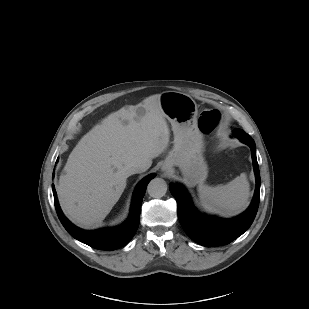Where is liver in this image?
Listing matches in <instances>:
<instances>
[{"label":"liver","instance_id":"liver-1","mask_svg":"<svg viewBox=\"0 0 309 309\" xmlns=\"http://www.w3.org/2000/svg\"><path fill=\"white\" fill-rule=\"evenodd\" d=\"M165 118L160 95H152L110 114L81 138L56 188L72 222L84 228L102 223L126 187L127 171L135 165L148 169L169 146Z\"/></svg>","mask_w":309,"mask_h":309}]
</instances>
